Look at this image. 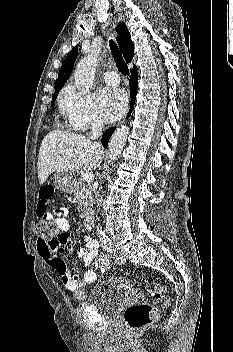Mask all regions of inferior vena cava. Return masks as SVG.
Here are the masks:
<instances>
[{
	"label": "inferior vena cava",
	"instance_id": "1",
	"mask_svg": "<svg viewBox=\"0 0 233 352\" xmlns=\"http://www.w3.org/2000/svg\"><path fill=\"white\" fill-rule=\"evenodd\" d=\"M103 129V121L101 118L95 116L93 117L92 121V128H91V134H90V139L91 140H96L101 136ZM96 197L98 196L97 192L94 191ZM97 205H99V199L97 198Z\"/></svg>",
	"mask_w": 233,
	"mask_h": 352
}]
</instances>
